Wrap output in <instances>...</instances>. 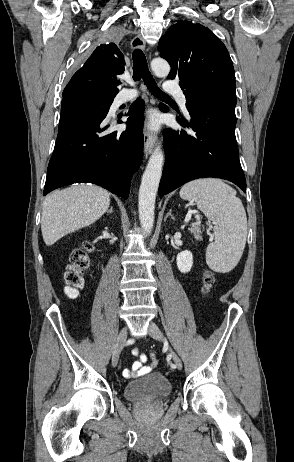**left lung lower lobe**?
Wrapping results in <instances>:
<instances>
[{"label": "left lung lower lobe", "instance_id": "1", "mask_svg": "<svg viewBox=\"0 0 294 462\" xmlns=\"http://www.w3.org/2000/svg\"><path fill=\"white\" fill-rule=\"evenodd\" d=\"M235 105L229 98H207L187 108L190 123L177 119L182 126L191 127L193 135L184 130L166 131L160 197L190 180L205 177L229 180L246 192L235 137ZM161 110L168 111L164 105Z\"/></svg>", "mask_w": 294, "mask_h": 462}]
</instances>
